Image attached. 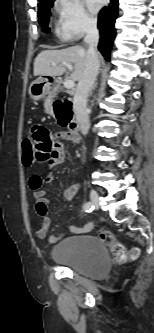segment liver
<instances>
[{
	"label": "liver",
	"mask_w": 154,
	"mask_h": 333,
	"mask_svg": "<svg viewBox=\"0 0 154 333\" xmlns=\"http://www.w3.org/2000/svg\"><path fill=\"white\" fill-rule=\"evenodd\" d=\"M86 54L87 50L81 46L61 50H44L35 58L34 76H60L66 71V67L62 63L67 62L74 65L71 80L79 81L83 76Z\"/></svg>",
	"instance_id": "1"
}]
</instances>
